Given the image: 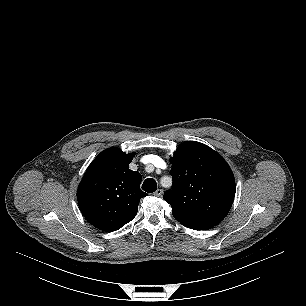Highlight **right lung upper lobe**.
I'll use <instances>...</instances> for the list:
<instances>
[{
    "mask_svg": "<svg viewBox=\"0 0 306 306\" xmlns=\"http://www.w3.org/2000/svg\"><path fill=\"white\" fill-rule=\"evenodd\" d=\"M133 154L108 148L89 165L77 190L83 216L102 231H116L131 221L147 194L140 189L142 176L129 169Z\"/></svg>",
    "mask_w": 306,
    "mask_h": 306,
    "instance_id": "right-lung-upper-lobe-1",
    "label": "right lung upper lobe"
}]
</instances>
